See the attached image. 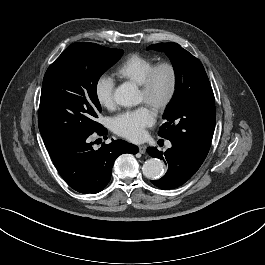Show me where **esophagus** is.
I'll use <instances>...</instances> for the list:
<instances>
[{
	"mask_svg": "<svg viewBox=\"0 0 265 265\" xmlns=\"http://www.w3.org/2000/svg\"><path fill=\"white\" fill-rule=\"evenodd\" d=\"M138 149L141 154H144L146 152L147 147L146 145H139Z\"/></svg>",
	"mask_w": 265,
	"mask_h": 265,
	"instance_id": "obj_1",
	"label": "esophagus"
}]
</instances>
